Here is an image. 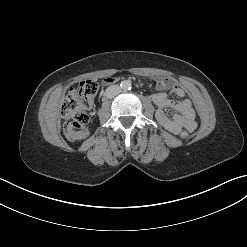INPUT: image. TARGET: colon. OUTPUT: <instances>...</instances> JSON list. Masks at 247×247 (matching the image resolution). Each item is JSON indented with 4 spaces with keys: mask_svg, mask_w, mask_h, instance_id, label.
<instances>
[{
    "mask_svg": "<svg viewBox=\"0 0 247 247\" xmlns=\"http://www.w3.org/2000/svg\"><path fill=\"white\" fill-rule=\"evenodd\" d=\"M99 85L96 80H84L77 88L71 89L61 103V115L64 120V133L68 140L77 142L88 136V115L82 101L94 97ZM190 131L187 129L180 133L182 139L188 138Z\"/></svg>",
    "mask_w": 247,
    "mask_h": 247,
    "instance_id": "5ec220e1",
    "label": "colon"
}]
</instances>
